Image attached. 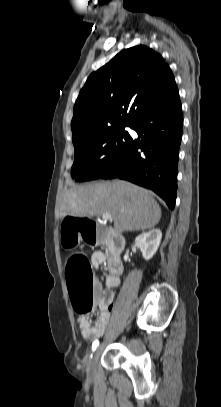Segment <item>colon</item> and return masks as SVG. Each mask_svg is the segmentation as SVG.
<instances>
[{
  "label": "colon",
  "instance_id": "5ec220e1",
  "mask_svg": "<svg viewBox=\"0 0 221 407\" xmlns=\"http://www.w3.org/2000/svg\"><path fill=\"white\" fill-rule=\"evenodd\" d=\"M59 232L66 247H72L76 239H86L87 246L101 247L109 239L107 222H98L94 216H64ZM66 279L74 310L88 314L95 305V282L91 265L82 254L73 255L66 266Z\"/></svg>",
  "mask_w": 221,
  "mask_h": 407
}]
</instances>
